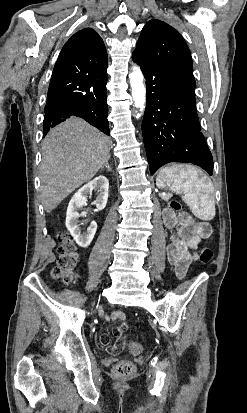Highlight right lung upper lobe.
I'll return each mask as SVG.
<instances>
[{
    "mask_svg": "<svg viewBox=\"0 0 247 413\" xmlns=\"http://www.w3.org/2000/svg\"><path fill=\"white\" fill-rule=\"evenodd\" d=\"M108 66L102 38L91 28L75 33L63 46L54 70L59 72H91Z\"/></svg>",
    "mask_w": 247,
    "mask_h": 413,
    "instance_id": "cb5924a9",
    "label": "right lung upper lobe"
}]
</instances>
